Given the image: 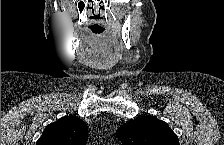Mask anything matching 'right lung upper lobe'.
Masks as SVG:
<instances>
[{"mask_svg":"<svg viewBox=\"0 0 224 145\" xmlns=\"http://www.w3.org/2000/svg\"><path fill=\"white\" fill-rule=\"evenodd\" d=\"M88 129L85 123L73 116H65L49 124L37 145H85Z\"/></svg>","mask_w":224,"mask_h":145,"instance_id":"obj_1","label":"right lung upper lobe"}]
</instances>
